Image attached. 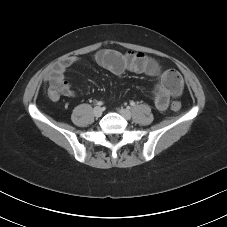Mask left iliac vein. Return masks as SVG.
I'll list each match as a JSON object with an SVG mask.
<instances>
[{"label": "left iliac vein", "instance_id": "left-iliac-vein-1", "mask_svg": "<svg viewBox=\"0 0 227 227\" xmlns=\"http://www.w3.org/2000/svg\"><path fill=\"white\" fill-rule=\"evenodd\" d=\"M119 113L126 119L130 120L132 117L131 111L129 109L121 108L119 109Z\"/></svg>", "mask_w": 227, "mask_h": 227}]
</instances>
